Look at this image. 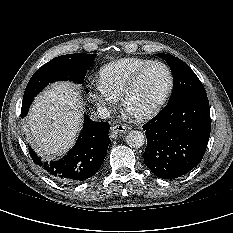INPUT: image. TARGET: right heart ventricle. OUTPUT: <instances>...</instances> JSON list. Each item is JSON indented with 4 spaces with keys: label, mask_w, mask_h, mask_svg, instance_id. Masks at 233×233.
<instances>
[{
    "label": "right heart ventricle",
    "mask_w": 233,
    "mask_h": 233,
    "mask_svg": "<svg viewBox=\"0 0 233 233\" xmlns=\"http://www.w3.org/2000/svg\"><path fill=\"white\" fill-rule=\"evenodd\" d=\"M150 62V59L128 57L107 63L99 70L98 83L118 98L134 73Z\"/></svg>",
    "instance_id": "right-heart-ventricle-1"
}]
</instances>
